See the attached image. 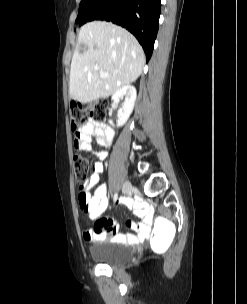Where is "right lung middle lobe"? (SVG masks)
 <instances>
[{"label": "right lung middle lobe", "mask_w": 247, "mask_h": 304, "mask_svg": "<svg viewBox=\"0 0 247 304\" xmlns=\"http://www.w3.org/2000/svg\"><path fill=\"white\" fill-rule=\"evenodd\" d=\"M103 1L104 0H81L75 23H80L87 18Z\"/></svg>", "instance_id": "obj_1"}]
</instances>
